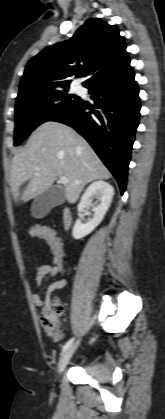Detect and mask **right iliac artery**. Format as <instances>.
<instances>
[{
  "instance_id": "right-iliac-artery-1",
  "label": "right iliac artery",
  "mask_w": 165,
  "mask_h": 419,
  "mask_svg": "<svg viewBox=\"0 0 165 419\" xmlns=\"http://www.w3.org/2000/svg\"><path fill=\"white\" fill-rule=\"evenodd\" d=\"M73 341H74V338H71L69 341H67L66 344L63 346L62 351L65 352L71 346Z\"/></svg>"
}]
</instances>
